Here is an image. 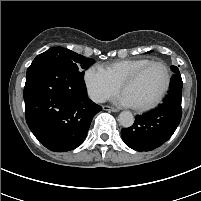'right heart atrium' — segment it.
<instances>
[{
	"label": "right heart atrium",
	"mask_w": 201,
	"mask_h": 201,
	"mask_svg": "<svg viewBox=\"0 0 201 201\" xmlns=\"http://www.w3.org/2000/svg\"><path fill=\"white\" fill-rule=\"evenodd\" d=\"M84 84L89 97L97 103H102L112 97L120 87L100 65H92L86 69Z\"/></svg>",
	"instance_id": "d8ad5b80"
}]
</instances>
